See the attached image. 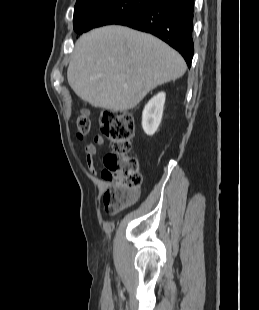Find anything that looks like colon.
I'll use <instances>...</instances> for the list:
<instances>
[{
	"label": "colon",
	"instance_id": "obj_1",
	"mask_svg": "<svg viewBox=\"0 0 259 310\" xmlns=\"http://www.w3.org/2000/svg\"><path fill=\"white\" fill-rule=\"evenodd\" d=\"M92 127L88 112H82L77 118L78 136H86ZM100 127L111 145V152L104 156L103 177L115 182L103 197L104 213L115 215L132 202L142 183L138 160L130 154L135 123L129 114L108 111L102 115Z\"/></svg>",
	"mask_w": 259,
	"mask_h": 310
}]
</instances>
